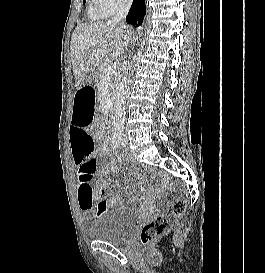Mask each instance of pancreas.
I'll return each instance as SVG.
<instances>
[{"mask_svg": "<svg viewBox=\"0 0 265 273\" xmlns=\"http://www.w3.org/2000/svg\"><path fill=\"white\" fill-rule=\"evenodd\" d=\"M112 61V59H107L105 60L99 67L97 73H96V85L99 88L102 83L105 81L106 85L108 86V91L111 94L114 88L117 86L119 80H120V75L118 73H115L112 75L110 78L106 79L104 77L105 69L109 65V63ZM115 92V91H114ZM113 92V93H114ZM113 95V94H112Z\"/></svg>", "mask_w": 265, "mask_h": 273, "instance_id": "cf45deb5", "label": "pancreas"}]
</instances>
